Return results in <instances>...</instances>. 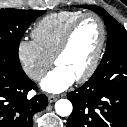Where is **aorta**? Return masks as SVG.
Instances as JSON below:
<instances>
[{"label": "aorta", "instance_id": "aorta-1", "mask_svg": "<svg viewBox=\"0 0 127 127\" xmlns=\"http://www.w3.org/2000/svg\"><path fill=\"white\" fill-rule=\"evenodd\" d=\"M72 109V103L68 99H60L55 104L56 113L62 117L69 116Z\"/></svg>", "mask_w": 127, "mask_h": 127}]
</instances>
